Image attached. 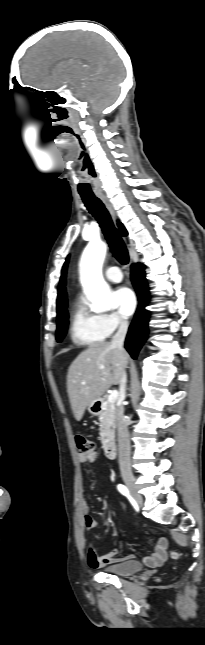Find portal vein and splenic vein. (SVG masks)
<instances>
[{
	"label": "portal vein and splenic vein",
	"mask_w": 205,
	"mask_h": 645,
	"mask_svg": "<svg viewBox=\"0 0 205 645\" xmlns=\"http://www.w3.org/2000/svg\"><path fill=\"white\" fill-rule=\"evenodd\" d=\"M119 396L118 391H113L109 396H108V401L109 402H115Z\"/></svg>",
	"instance_id": "18ae733b"
}]
</instances>
